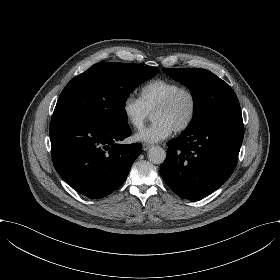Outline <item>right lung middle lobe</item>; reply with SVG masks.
Listing matches in <instances>:
<instances>
[{
  "mask_svg": "<svg viewBox=\"0 0 280 280\" xmlns=\"http://www.w3.org/2000/svg\"><path fill=\"white\" fill-rule=\"evenodd\" d=\"M158 72L156 67L137 64L97 63L66 85L52 117L74 116L100 125L127 124L129 94Z\"/></svg>",
  "mask_w": 280,
  "mask_h": 280,
  "instance_id": "obj_1",
  "label": "right lung middle lobe"
}]
</instances>
